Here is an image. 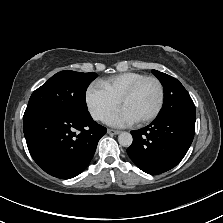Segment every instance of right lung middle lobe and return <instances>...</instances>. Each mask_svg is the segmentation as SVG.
Segmentation results:
<instances>
[{
  "instance_id": "right-lung-middle-lobe-1",
  "label": "right lung middle lobe",
  "mask_w": 223,
  "mask_h": 223,
  "mask_svg": "<svg viewBox=\"0 0 223 223\" xmlns=\"http://www.w3.org/2000/svg\"><path fill=\"white\" fill-rule=\"evenodd\" d=\"M97 76L70 70L56 73L32 93L23 120L45 114L89 117L85 94Z\"/></svg>"
}]
</instances>
